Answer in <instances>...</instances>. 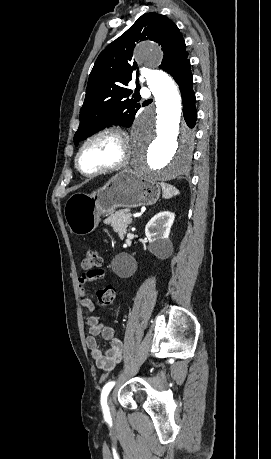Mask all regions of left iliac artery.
Returning a JSON list of instances; mask_svg holds the SVG:
<instances>
[{
    "label": "left iliac artery",
    "mask_w": 271,
    "mask_h": 459,
    "mask_svg": "<svg viewBox=\"0 0 271 459\" xmlns=\"http://www.w3.org/2000/svg\"><path fill=\"white\" fill-rule=\"evenodd\" d=\"M114 384H115V382H113V381L108 382L103 387L102 393H101L102 410H103L104 416L108 417V418H110V412H109L108 405H107V396H108L109 392L111 391V389L113 388Z\"/></svg>",
    "instance_id": "left-iliac-artery-1"
}]
</instances>
